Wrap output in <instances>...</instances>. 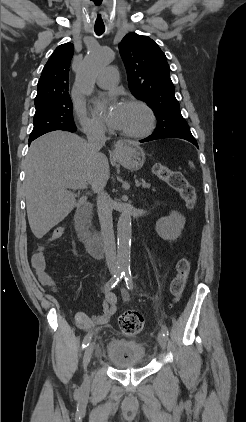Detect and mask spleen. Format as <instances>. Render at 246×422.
I'll list each match as a JSON object with an SVG mask.
<instances>
[{
    "mask_svg": "<svg viewBox=\"0 0 246 422\" xmlns=\"http://www.w3.org/2000/svg\"><path fill=\"white\" fill-rule=\"evenodd\" d=\"M189 165H190V167L194 168L193 162L189 161Z\"/></svg>",
    "mask_w": 246,
    "mask_h": 422,
    "instance_id": "obj_1",
    "label": "spleen"
}]
</instances>
